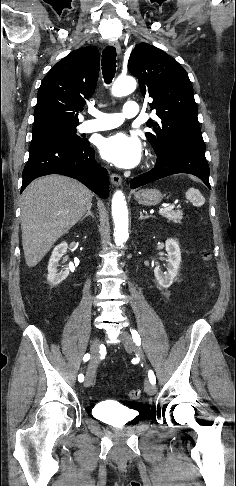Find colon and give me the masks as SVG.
Returning a JSON list of instances; mask_svg holds the SVG:
<instances>
[{
    "label": "colon",
    "instance_id": "obj_1",
    "mask_svg": "<svg viewBox=\"0 0 236 486\" xmlns=\"http://www.w3.org/2000/svg\"><path fill=\"white\" fill-rule=\"evenodd\" d=\"M204 256H205V259H208V257H209L207 253H205ZM128 396L131 400H138L141 396V390L140 389H132L129 392Z\"/></svg>",
    "mask_w": 236,
    "mask_h": 486
}]
</instances>
